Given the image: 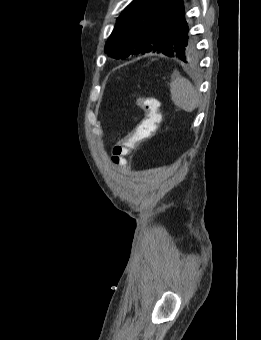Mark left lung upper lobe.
Segmentation results:
<instances>
[{"label":"left lung upper lobe","instance_id":"5c2ea615","mask_svg":"<svg viewBox=\"0 0 261 340\" xmlns=\"http://www.w3.org/2000/svg\"><path fill=\"white\" fill-rule=\"evenodd\" d=\"M166 0H133L117 18L106 43V52L113 58L131 54L159 53L167 50L187 63L197 54L196 39L191 34L185 14L168 19L160 13Z\"/></svg>","mask_w":261,"mask_h":340}]
</instances>
